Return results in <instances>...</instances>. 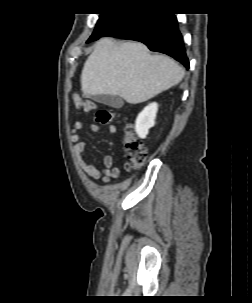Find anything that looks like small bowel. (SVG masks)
Returning a JSON list of instances; mask_svg holds the SVG:
<instances>
[{
  "label": "small bowel",
  "instance_id": "1",
  "mask_svg": "<svg viewBox=\"0 0 252 303\" xmlns=\"http://www.w3.org/2000/svg\"><path fill=\"white\" fill-rule=\"evenodd\" d=\"M84 126L85 123L83 120L76 121L70 134L71 140L74 142V153L79 166L87 176L96 180L102 179L104 182H107L112 178L118 177L120 174V169L113 166L112 156L107 155L103 158V167L101 170L86 159V143L81 140L80 134V131ZM91 130L93 132H99L101 127L97 124H92ZM106 130L109 133H116L117 127L111 124L106 127Z\"/></svg>",
  "mask_w": 252,
  "mask_h": 303
}]
</instances>
